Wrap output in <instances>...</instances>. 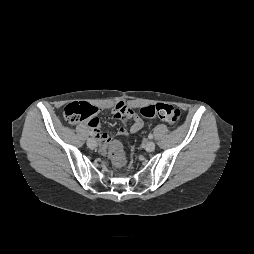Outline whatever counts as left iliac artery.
Segmentation results:
<instances>
[{
	"instance_id": "1",
	"label": "left iliac artery",
	"mask_w": 254,
	"mask_h": 254,
	"mask_svg": "<svg viewBox=\"0 0 254 254\" xmlns=\"http://www.w3.org/2000/svg\"><path fill=\"white\" fill-rule=\"evenodd\" d=\"M148 138H149V139H152V138H153V134L150 133V134L148 135Z\"/></svg>"
}]
</instances>
